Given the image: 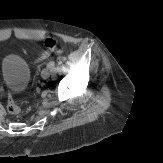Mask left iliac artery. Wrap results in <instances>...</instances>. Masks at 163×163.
Returning a JSON list of instances; mask_svg holds the SVG:
<instances>
[{
  "label": "left iliac artery",
  "instance_id": "obj_1",
  "mask_svg": "<svg viewBox=\"0 0 163 163\" xmlns=\"http://www.w3.org/2000/svg\"><path fill=\"white\" fill-rule=\"evenodd\" d=\"M47 67L50 68L52 70V72L55 71V63L53 61H50L48 64H47Z\"/></svg>",
  "mask_w": 163,
  "mask_h": 163
}]
</instances>
